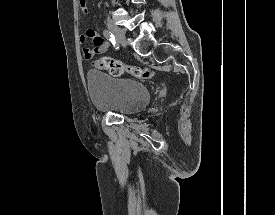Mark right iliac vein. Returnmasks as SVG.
<instances>
[{"label": "right iliac vein", "mask_w": 275, "mask_h": 215, "mask_svg": "<svg viewBox=\"0 0 275 215\" xmlns=\"http://www.w3.org/2000/svg\"><path fill=\"white\" fill-rule=\"evenodd\" d=\"M107 26L114 34L115 38L117 39L118 43L122 46H126V38L124 32L116 26L111 20H107Z\"/></svg>", "instance_id": "1"}]
</instances>
